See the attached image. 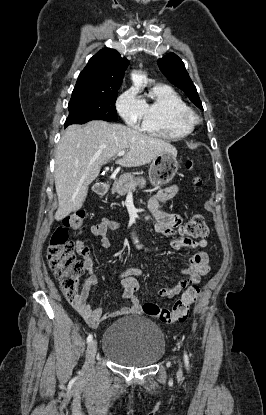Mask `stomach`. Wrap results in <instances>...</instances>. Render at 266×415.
I'll list each match as a JSON object with an SVG mask.
<instances>
[{
	"label": "stomach",
	"instance_id": "0dacf381",
	"mask_svg": "<svg viewBox=\"0 0 266 415\" xmlns=\"http://www.w3.org/2000/svg\"><path fill=\"white\" fill-rule=\"evenodd\" d=\"M178 170L176 155L170 152H162L157 155L149 169V180L152 185H163L173 179ZM146 181L144 178L139 179V187H144Z\"/></svg>",
	"mask_w": 266,
	"mask_h": 415
}]
</instances>
